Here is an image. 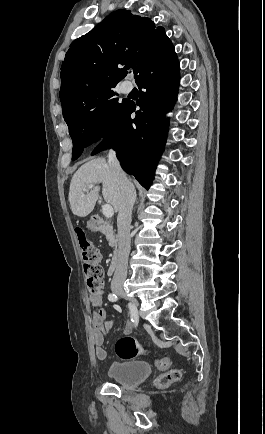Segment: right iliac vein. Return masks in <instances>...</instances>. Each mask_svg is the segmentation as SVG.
Listing matches in <instances>:
<instances>
[{
	"label": "right iliac vein",
	"instance_id": "obj_1",
	"mask_svg": "<svg viewBox=\"0 0 265 434\" xmlns=\"http://www.w3.org/2000/svg\"><path fill=\"white\" fill-rule=\"evenodd\" d=\"M112 290L115 293H117V294L126 296L125 291H124V289H123L122 286H115V287L112 288ZM131 304L136 307L137 301L134 298H132V303Z\"/></svg>",
	"mask_w": 265,
	"mask_h": 434
}]
</instances>
